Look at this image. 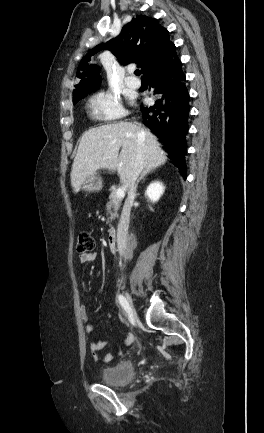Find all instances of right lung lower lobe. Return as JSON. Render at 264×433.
Instances as JSON below:
<instances>
[{"label": "right lung lower lobe", "mask_w": 264, "mask_h": 433, "mask_svg": "<svg viewBox=\"0 0 264 433\" xmlns=\"http://www.w3.org/2000/svg\"><path fill=\"white\" fill-rule=\"evenodd\" d=\"M145 77L154 91L155 103L141 109L143 123L160 138L168 157L186 178L185 136L188 132L189 93L177 54L167 63L149 71Z\"/></svg>", "instance_id": "1"}]
</instances>
